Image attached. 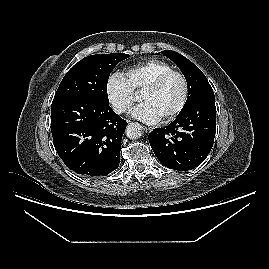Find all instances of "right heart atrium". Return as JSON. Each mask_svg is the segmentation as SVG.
Segmentation results:
<instances>
[{
  "label": "right heart atrium",
  "instance_id": "d8ad5b80",
  "mask_svg": "<svg viewBox=\"0 0 269 269\" xmlns=\"http://www.w3.org/2000/svg\"><path fill=\"white\" fill-rule=\"evenodd\" d=\"M105 93L110 107L119 115L126 113L135 101L133 89L126 76L120 72H112L108 76Z\"/></svg>",
  "mask_w": 269,
  "mask_h": 269
}]
</instances>
